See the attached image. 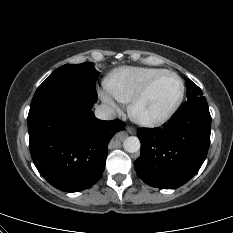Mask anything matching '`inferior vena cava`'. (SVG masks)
Masks as SVG:
<instances>
[{"label":"inferior vena cava","instance_id":"1","mask_svg":"<svg viewBox=\"0 0 233 233\" xmlns=\"http://www.w3.org/2000/svg\"><path fill=\"white\" fill-rule=\"evenodd\" d=\"M95 116L101 120H113L116 118V112L110 106L102 104L96 108Z\"/></svg>","mask_w":233,"mask_h":233}]
</instances>
